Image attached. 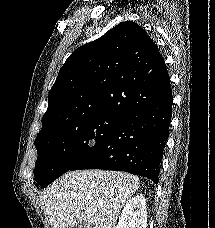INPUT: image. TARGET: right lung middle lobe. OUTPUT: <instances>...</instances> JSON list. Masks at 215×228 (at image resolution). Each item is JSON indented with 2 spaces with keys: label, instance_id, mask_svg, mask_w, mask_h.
I'll return each instance as SVG.
<instances>
[{
  "label": "right lung middle lobe",
  "instance_id": "dd1d6c3e",
  "mask_svg": "<svg viewBox=\"0 0 215 228\" xmlns=\"http://www.w3.org/2000/svg\"><path fill=\"white\" fill-rule=\"evenodd\" d=\"M122 119L123 116L120 115L101 114L39 132L35 140L38 152L35 166L37 183L45 188L69 171Z\"/></svg>",
  "mask_w": 215,
  "mask_h": 228
}]
</instances>
